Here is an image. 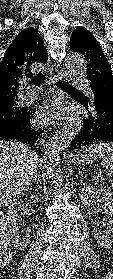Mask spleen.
<instances>
[{"label":"spleen","instance_id":"1","mask_svg":"<svg viewBox=\"0 0 113 279\" xmlns=\"http://www.w3.org/2000/svg\"><path fill=\"white\" fill-rule=\"evenodd\" d=\"M84 151H93L103 160L106 168L113 175V143H95L83 148Z\"/></svg>","mask_w":113,"mask_h":279}]
</instances>
